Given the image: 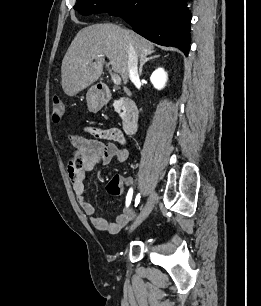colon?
<instances>
[{"mask_svg":"<svg viewBox=\"0 0 261 306\" xmlns=\"http://www.w3.org/2000/svg\"><path fill=\"white\" fill-rule=\"evenodd\" d=\"M52 120L54 123H59L65 116V106L60 98L55 97L52 102ZM84 161V155L78 154L76 156L77 165H81Z\"/></svg>","mask_w":261,"mask_h":306,"instance_id":"obj_1","label":"colon"}]
</instances>
